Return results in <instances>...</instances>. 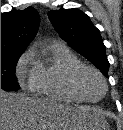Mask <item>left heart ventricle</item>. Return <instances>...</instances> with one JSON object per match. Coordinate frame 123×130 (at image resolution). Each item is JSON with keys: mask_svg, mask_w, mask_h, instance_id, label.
<instances>
[{"mask_svg": "<svg viewBox=\"0 0 123 130\" xmlns=\"http://www.w3.org/2000/svg\"><path fill=\"white\" fill-rule=\"evenodd\" d=\"M83 85L88 95L92 98L98 97L102 92V85L99 79L91 73H87L84 76Z\"/></svg>", "mask_w": 123, "mask_h": 130, "instance_id": "1", "label": "left heart ventricle"}]
</instances>
